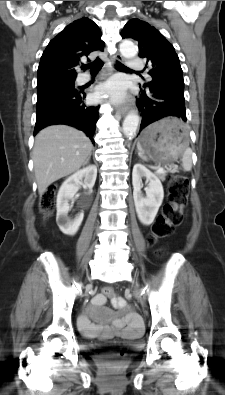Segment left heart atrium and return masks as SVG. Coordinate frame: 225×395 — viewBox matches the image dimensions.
<instances>
[{"instance_id":"obj_1","label":"left heart atrium","mask_w":225,"mask_h":395,"mask_svg":"<svg viewBox=\"0 0 225 395\" xmlns=\"http://www.w3.org/2000/svg\"><path fill=\"white\" fill-rule=\"evenodd\" d=\"M109 96L114 101H120L125 96V84L120 79H112L101 86L95 93L97 99Z\"/></svg>"}]
</instances>
